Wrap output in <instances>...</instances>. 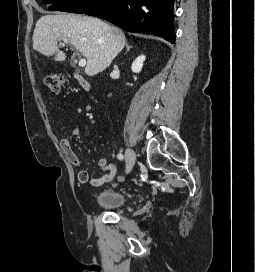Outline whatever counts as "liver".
Wrapping results in <instances>:
<instances>
[{
    "label": "liver",
    "mask_w": 255,
    "mask_h": 272,
    "mask_svg": "<svg viewBox=\"0 0 255 272\" xmlns=\"http://www.w3.org/2000/svg\"><path fill=\"white\" fill-rule=\"evenodd\" d=\"M73 45L86 58L85 73L94 76L104 71L125 45L123 31L98 18L57 14L42 16L33 33V49L56 61H65L58 41Z\"/></svg>",
    "instance_id": "liver-1"
}]
</instances>
